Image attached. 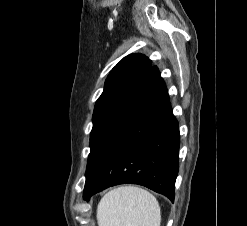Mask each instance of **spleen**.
I'll list each match as a JSON object with an SVG mask.
<instances>
[{"instance_id":"1","label":"spleen","mask_w":247,"mask_h":226,"mask_svg":"<svg viewBox=\"0 0 247 226\" xmlns=\"http://www.w3.org/2000/svg\"><path fill=\"white\" fill-rule=\"evenodd\" d=\"M99 226H160L157 199L148 191L133 186L108 192L97 207Z\"/></svg>"}]
</instances>
